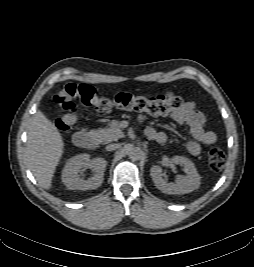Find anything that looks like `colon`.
I'll list each match as a JSON object with an SVG mask.
<instances>
[{
	"label": "colon",
	"instance_id": "1",
	"mask_svg": "<svg viewBox=\"0 0 254 267\" xmlns=\"http://www.w3.org/2000/svg\"><path fill=\"white\" fill-rule=\"evenodd\" d=\"M55 102L63 110L56 119L55 125L60 131L70 130L77 121L76 104L81 102L93 106L100 112H109L114 108L136 110L153 116H165L175 112L183 104V99L172 92H166L154 97L118 93L112 98L102 97L97 90L88 84L65 85L55 96ZM208 163L213 171H220L226 163L224 152L213 148L208 153Z\"/></svg>",
	"mask_w": 254,
	"mask_h": 267
}]
</instances>
